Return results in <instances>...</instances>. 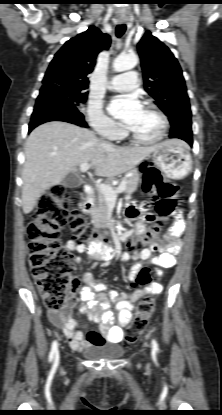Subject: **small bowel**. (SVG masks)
I'll return each instance as SVG.
<instances>
[{
  "instance_id": "obj_1",
  "label": "small bowel",
  "mask_w": 222,
  "mask_h": 415,
  "mask_svg": "<svg viewBox=\"0 0 222 415\" xmlns=\"http://www.w3.org/2000/svg\"><path fill=\"white\" fill-rule=\"evenodd\" d=\"M138 212L135 207L130 206L126 210L128 220H135ZM150 215H145L149 220ZM139 233L145 232L142 223H134ZM185 228V222L181 212L175 214V223L168 232L167 236L157 242L149 244L146 248L135 251L133 254L124 253L122 260L137 261L128 274L130 280H135L142 267V262L153 264L159 268L157 275L162 276L161 269L172 268L177 264L175 255L180 252L182 242L179 235ZM67 248L76 252L89 251V248L74 240H68ZM158 252V254H154ZM76 263L80 264L81 259L76 257ZM83 286L77 288L62 311H48L50 322L61 329L68 340L72 350L80 352L85 348L102 346L105 344H119L123 342L124 329L128 326L132 311L138 300L145 294H160L163 290L162 285L156 281L145 288H136L131 294L108 291L104 283L96 282L89 272H84L82 276ZM114 303L115 310L118 312L116 323L114 314L111 310V303ZM78 306L81 313L87 314L88 318L98 324L101 333L88 330L78 320L71 317V311Z\"/></svg>"
}]
</instances>
